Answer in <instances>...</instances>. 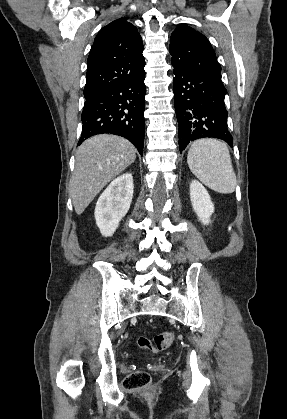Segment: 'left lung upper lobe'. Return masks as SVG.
<instances>
[{
  "mask_svg": "<svg viewBox=\"0 0 287 419\" xmlns=\"http://www.w3.org/2000/svg\"><path fill=\"white\" fill-rule=\"evenodd\" d=\"M172 65L188 72L221 73L215 52L208 39L193 28L181 25L170 38Z\"/></svg>",
  "mask_w": 287,
  "mask_h": 419,
  "instance_id": "5c2ea615",
  "label": "left lung upper lobe"
}]
</instances>
